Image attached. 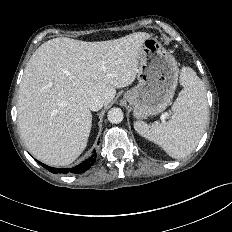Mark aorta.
I'll return each mask as SVG.
<instances>
[{
	"instance_id": "762f6f07",
	"label": "aorta",
	"mask_w": 232,
	"mask_h": 232,
	"mask_svg": "<svg viewBox=\"0 0 232 232\" xmlns=\"http://www.w3.org/2000/svg\"><path fill=\"white\" fill-rule=\"evenodd\" d=\"M107 117L109 122H111L112 124H118L122 122L124 114L120 108L114 107L108 111Z\"/></svg>"
}]
</instances>
